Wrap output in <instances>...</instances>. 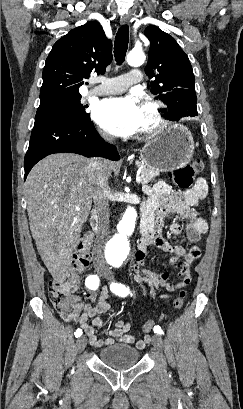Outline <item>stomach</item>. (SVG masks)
I'll use <instances>...</instances> for the list:
<instances>
[{"mask_svg":"<svg viewBox=\"0 0 243 409\" xmlns=\"http://www.w3.org/2000/svg\"><path fill=\"white\" fill-rule=\"evenodd\" d=\"M194 148V140L188 128L174 124L147 141L141 149V158L147 167L168 172L188 164Z\"/></svg>","mask_w":243,"mask_h":409,"instance_id":"1","label":"stomach"}]
</instances>
